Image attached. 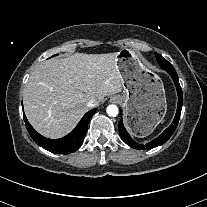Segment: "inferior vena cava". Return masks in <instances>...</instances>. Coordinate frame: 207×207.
<instances>
[{
  "mask_svg": "<svg viewBox=\"0 0 207 207\" xmlns=\"http://www.w3.org/2000/svg\"><path fill=\"white\" fill-rule=\"evenodd\" d=\"M98 104H99V102L96 99L92 98L88 101L87 107H90V108L96 107V106H98Z\"/></svg>",
  "mask_w": 207,
  "mask_h": 207,
  "instance_id": "602c4592",
  "label": "inferior vena cava"
}]
</instances>
